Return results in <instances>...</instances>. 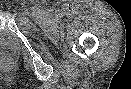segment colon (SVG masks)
<instances>
[{"label":"colon","mask_w":131,"mask_h":89,"mask_svg":"<svg viewBox=\"0 0 131 89\" xmlns=\"http://www.w3.org/2000/svg\"><path fill=\"white\" fill-rule=\"evenodd\" d=\"M8 55H9V53H8L7 50H1V51H0V56L7 57Z\"/></svg>","instance_id":"5ec220e1"}]
</instances>
